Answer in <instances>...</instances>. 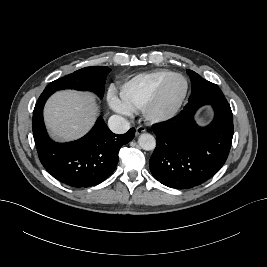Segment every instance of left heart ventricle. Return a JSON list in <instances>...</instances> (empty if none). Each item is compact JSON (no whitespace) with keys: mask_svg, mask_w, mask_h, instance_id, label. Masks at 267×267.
<instances>
[{"mask_svg":"<svg viewBox=\"0 0 267 267\" xmlns=\"http://www.w3.org/2000/svg\"><path fill=\"white\" fill-rule=\"evenodd\" d=\"M185 89V82L181 78L174 79L166 88L161 106L168 108L173 106L182 96Z\"/></svg>","mask_w":267,"mask_h":267,"instance_id":"left-heart-ventricle-1","label":"left heart ventricle"}]
</instances>
